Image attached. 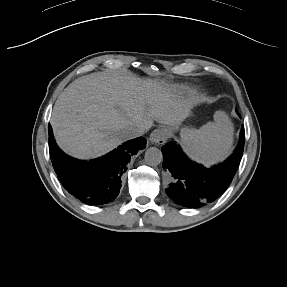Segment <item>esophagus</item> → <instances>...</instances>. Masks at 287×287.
<instances>
[{"label": "esophagus", "mask_w": 287, "mask_h": 287, "mask_svg": "<svg viewBox=\"0 0 287 287\" xmlns=\"http://www.w3.org/2000/svg\"><path fill=\"white\" fill-rule=\"evenodd\" d=\"M168 138V131L164 128L155 129L149 137V140L152 144L162 145Z\"/></svg>", "instance_id": "esophagus-1"}]
</instances>
